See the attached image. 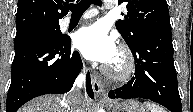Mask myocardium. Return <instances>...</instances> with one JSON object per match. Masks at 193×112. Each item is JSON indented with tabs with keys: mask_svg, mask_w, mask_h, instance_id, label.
Segmentation results:
<instances>
[{
	"mask_svg": "<svg viewBox=\"0 0 193 112\" xmlns=\"http://www.w3.org/2000/svg\"><path fill=\"white\" fill-rule=\"evenodd\" d=\"M118 53L122 58V66L120 69H113L109 65L104 68L106 76L116 83H125L129 81L135 71V60L130 48L121 44L118 48Z\"/></svg>",
	"mask_w": 193,
	"mask_h": 112,
	"instance_id": "myocardium-1",
	"label": "myocardium"
}]
</instances>
